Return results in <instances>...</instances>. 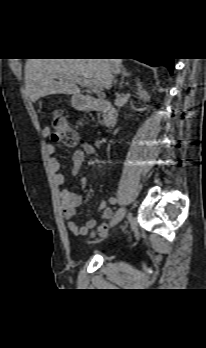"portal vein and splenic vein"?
<instances>
[{
  "label": "portal vein and splenic vein",
  "instance_id": "1",
  "mask_svg": "<svg viewBox=\"0 0 206 348\" xmlns=\"http://www.w3.org/2000/svg\"><path fill=\"white\" fill-rule=\"evenodd\" d=\"M75 81L82 87L91 88L94 92L101 90V84L97 80L77 78Z\"/></svg>",
  "mask_w": 206,
  "mask_h": 348
}]
</instances>
